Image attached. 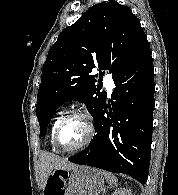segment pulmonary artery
<instances>
[{
  "instance_id": "e3ab8cb5",
  "label": "pulmonary artery",
  "mask_w": 178,
  "mask_h": 195,
  "mask_svg": "<svg viewBox=\"0 0 178 195\" xmlns=\"http://www.w3.org/2000/svg\"><path fill=\"white\" fill-rule=\"evenodd\" d=\"M104 84L108 90V93L110 94L113 88V80L109 75H106L104 78Z\"/></svg>"
}]
</instances>
